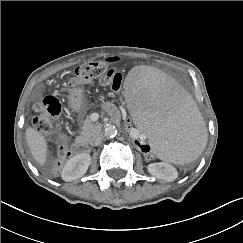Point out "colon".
Wrapping results in <instances>:
<instances>
[{"mask_svg":"<svg viewBox=\"0 0 243 243\" xmlns=\"http://www.w3.org/2000/svg\"><path fill=\"white\" fill-rule=\"evenodd\" d=\"M119 62V57H109L106 60L82 64L76 68L74 75L68 80V86L70 88H77L82 85L89 84L94 80H98L100 84L108 86L113 91H120L123 76L117 66ZM117 102L122 104L124 99L119 97ZM61 110V102L53 95L43 97L34 105V112L36 114L33 120L34 127L42 133H50L54 128L59 131L61 145L57 152V168H60L63 162L71 156V149L68 145V137L60 130V124L57 122L60 117ZM123 118L125 143L136 148L138 151H141L144 155H147L150 161L157 162V159L150 156L152 152L150 144L141 142L132 137V119L128 110L123 112Z\"/></svg>","mask_w":243,"mask_h":243,"instance_id":"colon-1","label":"colon"}]
</instances>
